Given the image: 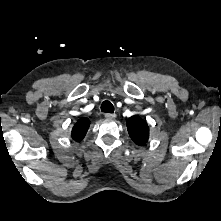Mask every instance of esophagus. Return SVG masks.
Segmentation results:
<instances>
[{
	"label": "esophagus",
	"mask_w": 221,
	"mask_h": 221,
	"mask_svg": "<svg viewBox=\"0 0 221 221\" xmlns=\"http://www.w3.org/2000/svg\"><path fill=\"white\" fill-rule=\"evenodd\" d=\"M105 117L107 119H114L116 117V114L115 113H106Z\"/></svg>",
	"instance_id": "obj_1"
}]
</instances>
